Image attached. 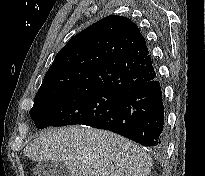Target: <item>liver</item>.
Returning <instances> with one entry per match:
<instances>
[{"instance_id":"liver-1","label":"liver","mask_w":205,"mask_h":176,"mask_svg":"<svg viewBox=\"0 0 205 176\" xmlns=\"http://www.w3.org/2000/svg\"><path fill=\"white\" fill-rule=\"evenodd\" d=\"M33 161L64 164L69 176H148L152 158L110 131L69 126L46 130L24 149Z\"/></svg>"}]
</instances>
